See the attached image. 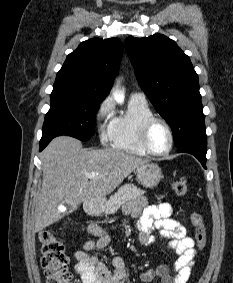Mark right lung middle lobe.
<instances>
[{
  "mask_svg": "<svg viewBox=\"0 0 233 283\" xmlns=\"http://www.w3.org/2000/svg\"><path fill=\"white\" fill-rule=\"evenodd\" d=\"M51 105L45 116L41 141L69 135L87 141L94 134L96 112L100 100L88 98L66 89H53Z\"/></svg>",
  "mask_w": 233,
  "mask_h": 283,
  "instance_id": "1",
  "label": "right lung middle lobe"
}]
</instances>
